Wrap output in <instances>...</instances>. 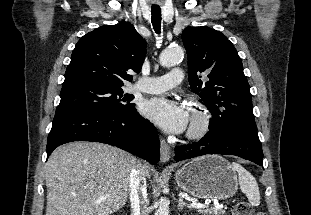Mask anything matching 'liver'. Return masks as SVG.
I'll return each instance as SVG.
<instances>
[{
  "label": "liver",
  "instance_id": "1",
  "mask_svg": "<svg viewBox=\"0 0 311 215\" xmlns=\"http://www.w3.org/2000/svg\"><path fill=\"white\" fill-rule=\"evenodd\" d=\"M150 169L118 148L95 142L58 147L46 163V215H109L122 208L130 191L131 169ZM104 200L100 201V198Z\"/></svg>",
  "mask_w": 311,
  "mask_h": 215
}]
</instances>
